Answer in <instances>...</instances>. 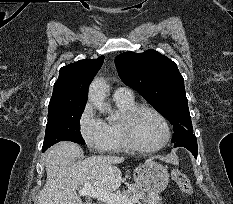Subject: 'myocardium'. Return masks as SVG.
Returning <instances> with one entry per match:
<instances>
[{
    "label": "myocardium",
    "mask_w": 233,
    "mask_h": 204,
    "mask_svg": "<svg viewBox=\"0 0 233 204\" xmlns=\"http://www.w3.org/2000/svg\"><path fill=\"white\" fill-rule=\"evenodd\" d=\"M143 111L153 113L162 123L165 130V137L163 141L152 148H145L140 146L134 136L133 125L136 117ZM120 127L123 135L124 142L128 149L139 153H154L160 151L167 146L171 139V129L165 116L156 108L148 105H136L126 113H124L120 119Z\"/></svg>",
    "instance_id": "1"
}]
</instances>
